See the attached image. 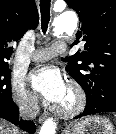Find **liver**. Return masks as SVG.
I'll use <instances>...</instances> for the list:
<instances>
[{
    "mask_svg": "<svg viewBox=\"0 0 116 134\" xmlns=\"http://www.w3.org/2000/svg\"><path fill=\"white\" fill-rule=\"evenodd\" d=\"M0 134H19V130L7 122L0 120Z\"/></svg>",
    "mask_w": 116,
    "mask_h": 134,
    "instance_id": "6515ba94",
    "label": "liver"
}]
</instances>
